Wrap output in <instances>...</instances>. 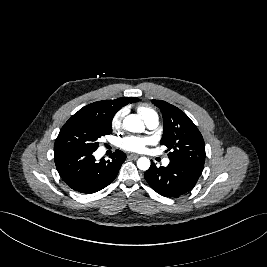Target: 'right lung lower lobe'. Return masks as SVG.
<instances>
[{"mask_svg":"<svg viewBox=\"0 0 267 267\" xmlns=\"http://www.w3.org/2000/svg\"><path fill=\"white\" fill-rule=\"evenodd\" d=\"M91 150L54 151L57 171L73 190L91 194L108 186L117 176L126 159L125 153L116 150L111 160L96 162Z\"/></svg>","mask_w":267,"mask_h":267,"instance_id":"1","label":"right lung lower lobe"}]
</instances>
